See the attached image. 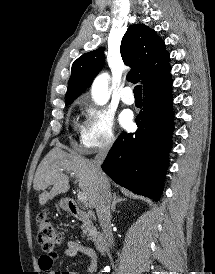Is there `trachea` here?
<instances>
[{
    "instance_id": "trachea-1",
    "label": "trachea",
    "mask_w": 215,
    "mask_h": 274,
    "mask_svg": "<svg viewBox=\"0 0 215 274\" xmlns=\"http://www.w3.org/2000/svg\"><path fill=\"white\" fill-rule=\"evenodd\" d=\"M135 97L142 98V85H137L134 88Z\"/></svg>"
}]
</instances>
